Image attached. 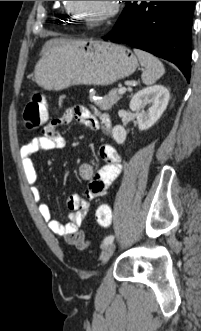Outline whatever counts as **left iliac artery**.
Instances as JSON below:
<instances>
[{
	"mask_svg": "<svg viewBox=\"0 0 201 331\" xmlns=\"http://www.w3.org/2000/svg\"><path fill=\"white\" fill-rule=\"evenodd\" d=\"M113 240H114V236H113V235H109V236H107V237L104 239V241H103V246H106V245L112 243Z\"/></svg>",
	"mask_w": 201,
	"mask_h": 331,
	"instance_id": "left-iliac-artery-1",
	"label": "left iliac artery"
}]
</instances>
